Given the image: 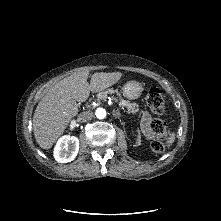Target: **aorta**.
Instances as JSON below:
<instances>
[{
	"mask_svg": "<svg viewBox=\"0 0 221 221\" xmlns=\"http://www.w3.org/2000/svg\"><path fill=\"white\" fill-rule=\"evenodd\" d=\"M95 114L98 119H103L106 117V111L104 108H97Z\"/></svg>",
	"mask_w": 221,
	"mask_h": 221,
	"instance_id": "obj_1",
	"label": "aorta"
}]
</instances>
